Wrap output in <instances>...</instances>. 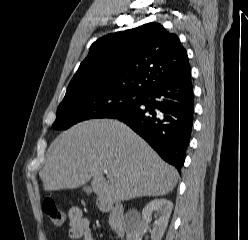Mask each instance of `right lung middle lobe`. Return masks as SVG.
<instances>
[{"label": "right lung middle lobe", "instance_id": "right-lung-middle-lobe-1", "mask_svg": "<svg viewBox=\"0 0 248 240\" xmlns=\"http://www.w3.org/2000/svg\"><path fill=\"white\" fill-rule=\"evenodd\" d=\"M144 94L121 89L82 88L67 90L57 109L53 129L92 118H107L139 103Z\"/></svg>", "mask_w": 248, "mask_h": 240}]
</instances>
